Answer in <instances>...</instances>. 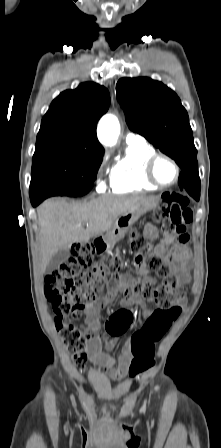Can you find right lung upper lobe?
I'll use <instances>...</instances> for the list:
<instances>
[{
    "label": "right lung upper lobe",
    "instance_id": "obj_1",
    "mask_svg": "<svg viewBox=\"0 0 221 448\" xmlns=\"http://www.w3.org/2000/svg\"><path fill=\"white\" fill-rule=\"evenodd\" d=\"M109 104L108 90L93 82L62 92L42 119L36 148L72 145L104 152L96 136V126Z\"/></svg>",
    "mask_w": 221,
    "mask_h": 448
}]
</instances>
